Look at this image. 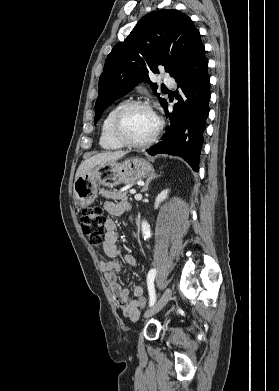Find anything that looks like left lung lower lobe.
I'll use <instances>...</instances> for the list:
<instances>
[{
	"label": "left lung lower lobe",
	"instance_id": "0a47b994",
	"mask_svg": "<svg viewBox=\"0 0 279 391\" xmlns=\"http://www.w3.org/2000/svg\"><path fill=\"white\" fill-rule=\"evenodd\" d=\"M207 67L203 46L190 66L175 78L181 88V94L175 95L178 103L173 106L172 112L168 111V103L163 107L171 124L162 141L147 150L152 155L166 153L181 156L194 171L199 170L203 133L209 113L211 92Z\"/></svg>",
	"mask_w": 279,
	"mask_h": 391
}]
</instances>
